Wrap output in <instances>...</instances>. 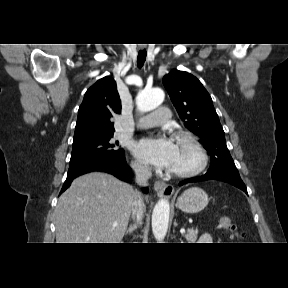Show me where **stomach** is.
Here are the masks:
<instances>
[{
  "mask_svg": "<svg viewBox=\"0 0 288 288\" xmlns=\"http://www.w3.org/2000/svg\"><path fill=\"white\" fill-rule=\"evenodd\" d=\"M207 193L199 187H191L178 197L177 207L185 213H198L208 204Z\"/></svg>",
  "mask_w": 288,
  "mask_h": 288,
  "instance_id": "0dacf381",
  "label": "stomach"
}]
</instances>
